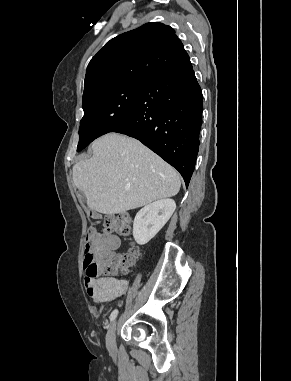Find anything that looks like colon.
<instances>
[{
    "mask_svg": "<svg viewBox=\"0 0 291 381\" xmlns=\"http://www.w3.org/2000/svg\"><path fill=\"white\" fill-rule=\"evenodd\" d=\"M103 229L108 232H116L121 235H129L132 229V219L126 213L111 214L102 216L94 214ZM96 229L93 227L87 233L84 247V267L89 277H99L101 275H114L127 273L135 264L139 257L137 250H132L126 254H117L113 251H100L99 246L92 238Z\"/></svg>",
    "mask_w": 291,
    "mask_h": 381,
    "instance_id": "obj_1",
    "label": "colon"
}]
</instances>
